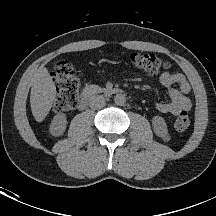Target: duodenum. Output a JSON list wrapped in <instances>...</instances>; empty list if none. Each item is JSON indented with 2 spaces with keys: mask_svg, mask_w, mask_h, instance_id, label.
I'll use <instances>...</instances> for the list:
<instances>
[{
  "mask_svg": "<svg viewBox=\"0 0 216 216\" xmlns=\"http://www.w3.org/2000/svg\"><path fill=\"white\" fill-rule=\"evenodd\" d=\"M99 93H102L106 96L120 95L122 94V90L118 88L99 90L97 88L90 87L85 90L82 97L80 98L79 109H85L89 105L90 100Z\"/></svg>",
  "mask_w": 216,
  "mask_h": 216,
  "instance_id": "410a0bca",
  "label": "duodenum"
}]
</instances>
